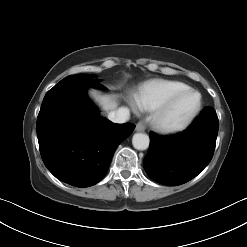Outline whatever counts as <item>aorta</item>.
<instances>
[{
  "label": "aorta",
  "mask_w": 247,
  "mask_h": 247,
  "mask_svg": "<svg viewBox=\"0 0 247 247\" xmlns=\"http://www.w3.org/2000/svg\"><path fill=\"white\" fill-rule=\"evenodd\" d=\"M132 144L137 150H146L149 147V136L144 133H136L132 138Z\"/></svg>",
  "instance_id": "aorta-1"
}]
</instances>
